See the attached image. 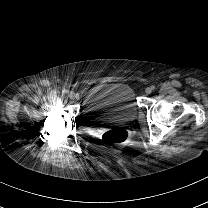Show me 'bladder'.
Masks as SVG:
<instances>
[{
	"mask_svg": "<svg viewBox=\"0 0 208 208\" xmlns=\"http://www.w3.org/2000/svg\"><path fill=\"white\" fill-rule=\"evenodd\" d=\"M90 108L86 118L101 122L107 118H131L136 114V104L131 88L114 83L96 86L87 91Z\"/></svg>",
	"mask_w": 208,
	"mask_h": 208,
	"instance_id": "31cf9c89",
	"label": "bladder"
}]
</instances>
